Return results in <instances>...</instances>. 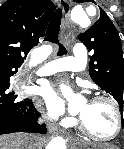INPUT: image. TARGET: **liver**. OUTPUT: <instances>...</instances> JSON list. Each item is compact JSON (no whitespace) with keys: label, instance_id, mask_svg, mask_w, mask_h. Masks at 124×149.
Returning a JSON list of instances; mask_svg holds the SVG:
<instances>
[{"label":"liver","instance_id":"1","mask_svg":"<svg viewBox=\"0 0 124 149\" xmlns=\"http://www.w3.org/2000/svg\"><path fill=\"white\" fill-rule=\"evenodd\" d=\"M31 136L32 135L22 133L0 136V149H28ZM42 143L43 139L40 138L38 147H40Z\"/></svg>","mask_w":124,"mask_h":149}]
</instances>
